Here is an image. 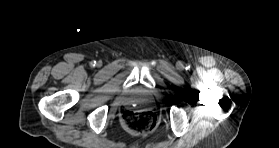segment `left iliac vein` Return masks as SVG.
Wrapping results in <instances>:
<instances>
[{"label":"left iliac vein","mask_w":279,"mask_h":148,"mask_svg":"<svg viewBox=\"0 0 279 148\" xmlns=\"http://www.w3.org/2000/svg\"><path fill=\"white\" fill-rule=\"evenodd\" d=\"M177 67H178L179 69H182V68H183V64H182L181 62H178V63H177Z\"/></svg>","instance_id":"4c4485c4"}]
</instances>
